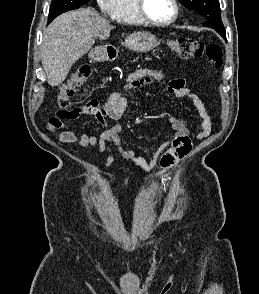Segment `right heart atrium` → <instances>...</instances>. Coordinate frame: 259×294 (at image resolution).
Returning a JSON list of instances; mask_svg holds the SVG:
<instances>
[{
  "instance_id": "1",
  "label": "right heart atrium",
  "mask_w": 259,
  "mask_h": 294,
  "mask_svg": "<svg viewBox=\"0 0 259 294\" xmlns=\"http://www.w3.org/2000/svg\"><path fill=\"white\" fill-rule=\"evenodd\" d=\"M99 9L106 15H112L118 0H96Z\"/></svg>"
}]
</instances>
